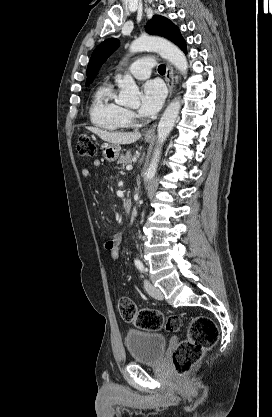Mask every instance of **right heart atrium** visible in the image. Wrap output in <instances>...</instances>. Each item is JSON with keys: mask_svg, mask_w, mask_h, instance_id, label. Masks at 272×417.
<instances>
[{"mask_svg": "<svg viewBox=\"0 0 272 417\" xmlns=\"http://www.w3.org/2000/svg\"><path fill=\"white\" fill-rule=\"evenodd\" d=\"M126 116H127L128 120L130 121L134 118L135 115L132 111L126 110Z\"/></svg>", "mask_w": 272, "mask_h": 417, "instance_id": "d8ad5b80", "label": "right heart atrium"}]
</instances>
